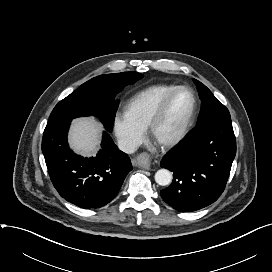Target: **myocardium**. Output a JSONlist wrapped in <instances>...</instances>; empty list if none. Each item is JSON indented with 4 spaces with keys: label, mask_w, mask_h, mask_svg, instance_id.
I'll return each mask as SVG.
<instances>
[{
    "label": "myocardium",
    "mask_w": 272,
    "mask_h": 272,
    "mask_svg": "<svg viewBox=\"0 0 272 272\" xmlns=\"http://www.w3.org/2000/svg\"><path fill=\"white\" fill-rule=\"evenodd\" d=\"M180 91H187L191 94L192 99H193V105H192L191 112H190L187 120L185 121L183 127L181 128V130L179 131V133L176 136H174L173 138H171L169 140L158 141V140H156V137H155L156 129H157L158 125L160 124V122L165 117L173 98ZM197 111H198V99H197L195 92L188 86H178L163 99V101L159 105L158 109L154 113L153 117L151 118L149 125H148V132H149L151 139L155 143H157L161 148H164V149H170V148L177 146L189 134V132L193 126L195 117L197 115Z\"/></svg>",
    "instance_id": "f54148a6"
}]
</instances>
